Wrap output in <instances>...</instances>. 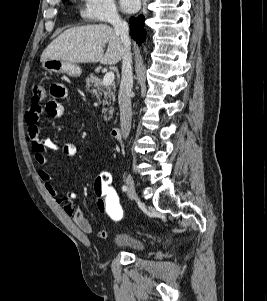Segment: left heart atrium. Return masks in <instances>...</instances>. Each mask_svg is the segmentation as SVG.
Returning a JSON list of instances; mask_svg holds the SVG:
<instances>
[{
	"label": "left heart atrium",
	"mask_w": 267,
	"mask_h": 301,
	"mask_svg": "<svg viewBox=\"0 0 267 301\" xmlns=\"http://www.w3.org/2000/svg\"><path fill=\"white\" fill-rule=\"evenodd\" d=\"M121 7L123 11L127 13H132L137 10L139 6L138 0H120Z\"/></svg>",
	"instance_id": "obj_1"
}]
</instances>
